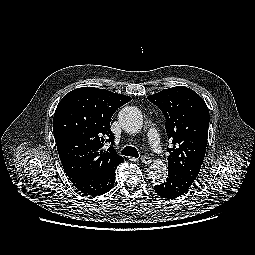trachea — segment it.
Listing matches in <instances>:
<instances>
[{"instance_id":"3493384b","label":"trachea","mask_w":255,"mask_h":255,"mask_svg":"<svg viewBox=\"0 0 255 255\" xmlns=\"http://www.w3.org/2000/svg\"><path fill=\"white\" fill-rule=\"evenodd\" d=\"M121 153L125 156H131L134 158H138L139 157V153L137 151V149L135 147L132 146H126L122 149Z\"/></svg>"}]
</instances>
